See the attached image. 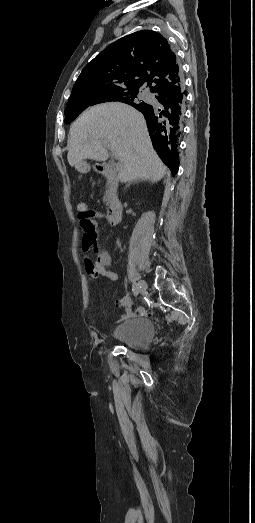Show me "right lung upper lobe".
<instances>
[{
    "instance_id": "1",
    "label": "right lung upper lobe",
    "mask_w": 255,
    "mask_h": 523,
    "mask_svg": "<svg viewBox=\"0 0 255 523\" xmlns=\"http://www.w3.org/2000/svg\"><path fill=\"white\" fill-rule=\"evenodd\" d=\"M143 85L156 101L128 104L144 114L155 150L176 174L187 93L176 55L159 33L142 30L112 43L84 67L67 105L138 92Z\"/></svg>"
}]
</instances>
